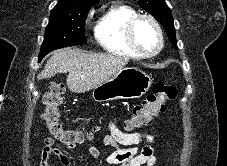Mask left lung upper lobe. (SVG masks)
<instances>
[{
	"label": "left lung upper lobe",
	"mask_w": 227,
	"mask_h": 166,
	"mask_svg": "<svg viewBox=\"0 0 227 166\" xmlns=\"http://www.w3.org/2000/svg\"><path fill=\"white\" fill-rule=\"evenodd\" d=\"M145 11L153 15L165 29L170 42L177 46L171 10L164 0H135Z\"/></svg>",
	"instance_id": "left-lung-upper-lobe-1"
}]
</instances>
